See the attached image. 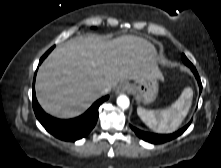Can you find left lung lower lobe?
Wrapping results in <instances>:
<instances>
[{
    "instance_id": "1",
    "label": "left lung lower lobe",
    "mask_w": 221,
    "mask_h": 168,
    "mask_svg": "<svg viewBox=\"0 0 221 168\" xmlns=\"http://www.w3.org/2000/svg\"><path fill=\"white\" fill-rule=\"evenodd\" d=\"M198 81V85H199V88H200V93L202 91V84H201V81H200V78H199V75L195 69V67L193 69H191ZM190 125V123H188L185 127H183L182 129L172 133V134H155V133H148V132H144V131H141L133 126H130L131 129L136 133V135L141 138L142 140L146 141V142H149V143H152V144H162V143H165V142H168L172 139H175L177 138L178 136H180L187 128L188 126Z\"/></svg>"
}]
</instances>
